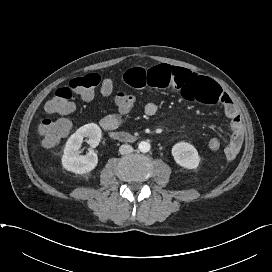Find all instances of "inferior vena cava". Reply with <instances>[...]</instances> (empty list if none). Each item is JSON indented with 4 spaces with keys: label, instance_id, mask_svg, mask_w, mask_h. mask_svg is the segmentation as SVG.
I'll use <instances>...</instances> for the list:
<instances>
[{
    "label": "inferior vena cava",
    "instance_id": "obj_1",
    "mask_svg": "<svg viewBox=\"0 0 272 272\" xmlns=\"http://www.w3.org/2000/svg\"><path fill=\"white\" fill-rule=\"evenodd\" d=\"M119 152L122 155L130 154L131 152H133V147L131 145H129V144H123V145L120 146Z\"/></svg>",
    "mask_w": 272,
    "mask_h": 272
}]
</instances>
